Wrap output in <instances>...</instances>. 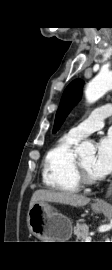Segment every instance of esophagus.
I'll return each mask as SVG.
<instances>
[{
  "label": "esophagus",
  "instance_id": "34e87169",
  "mask_svg": "<svg viewBox=\"0 0 112 270\" xmlns=\"http://www.w3.org/2000/svg\"><path fill=\"white\" fill-rule=\"evenodd\" d=\"M112 194V182L110 183L109 187H108V190L105 194V197L103 199H97L95 201V205L97 206H105L107 203H106V200L107 198L110 197V195Z\"/></svg>",
  "mask_w": 112,
  "mask_h": 270
}]
</instances>
